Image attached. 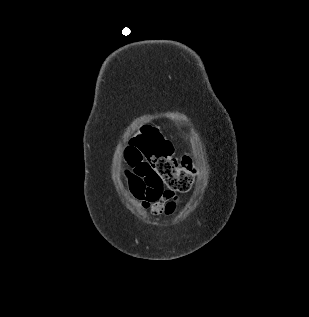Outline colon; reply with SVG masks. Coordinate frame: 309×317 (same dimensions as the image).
Masks as SVG:
<instances>
[{
  "instance_id": "5ec220e1",
  "label": "colon",
  "mask_w": 309,
  "mask_h": 317,
  "mask_svg": "<svg viewBox=\"0 0 309 317\" xmlns=\"http://www.w3.org/2000/svg\"><path fill=\"white\" fill-rule=\"evenodd\" d=\"M126 159L132 164L145 160L157 180L175 192L188 191L196 175L191 157L184 155L181 159L175 158L171 142L151 126L141 128L140 134L133 139Z\"/></svg>"
}]
</instances>
